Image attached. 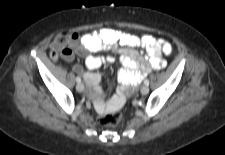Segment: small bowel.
<instances>
[{
	"label": "small bowel",
	"instance_id": "obj_1",
	"mask_svg": "<svg viewBox=\"0 0 225 155\" xmlns=\"http://www.w3.org/2000/svg\"><path fill=\"white\" fill-rule=\"evenodd\" d=\"M69 45L75 53L86 55L85 64L89 71H84L79 65L75 66V71L83 75L89 87L94 88L92 97L99 113L105 111L118 113L124 109L126 95L130 92V88L136 86L151 69L164 68L166 62L163 55H169L172 52L171 44L162 38H155L151 35L138 38L111 28H102L85 34L74 32L71 34ZM136 46L144 49L148 58H144L139 51L134 49ZM102 49H109L111 54L106 58L92 54ZM69 51L68 55L63 56L66 60L72 58V51L70 49ZM116 56H119L122 64V68L118 71L120 86L117 94L105 102L99 88L101 76L94 70L104 62H113Z\"/></svg>",
	"mask_w": 225,
	"mask_h": 155
}]
</instances>
